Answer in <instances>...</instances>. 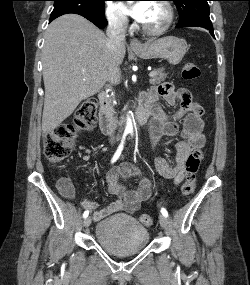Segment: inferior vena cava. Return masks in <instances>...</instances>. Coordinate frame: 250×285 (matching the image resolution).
Instances as JSON below:
<instances>
[{
	"mask_svg": "<svg viewBox=\"0 0 250 285\" xmlns=\"http://www.w3.org/2000/svg\"><path fill=\"white\" fill-rule=\"evenodd\" d=\"M128 27V20L122 15H113L109 19L107 34V48L110 55L108 63L107 79L112 84H118L120 81V68L118 65V50L122 44L125 43V33ZM115 126V123L113 124ZM114 140V136H111V141Z\"/></svg>",
	"mask_w": 250,
	"mask_h": 285,
	"instance_id": "602c4592",
	"label": "inferior vena cava"
}]
</instances>
